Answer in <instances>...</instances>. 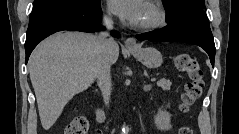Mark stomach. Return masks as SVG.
<instances>
[{"label":"stomach","instance_id":"obj_1","mask_svg":"<svg viewBox=\"0 0 239 134\" xmlns=\"http://www.w3.org/2000/svg\"><path fill=\"white\" fill-rule=\"evenodd\" d=\"M129 51L147 68H158L163 62L161 53L153 47L129 49Z\"/></svg>","mask_w":239,"mask_h":134}]
</instances>
